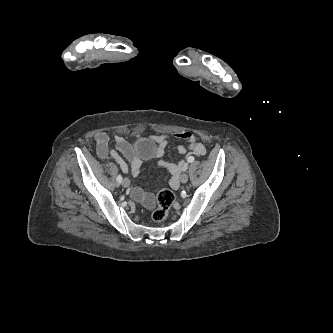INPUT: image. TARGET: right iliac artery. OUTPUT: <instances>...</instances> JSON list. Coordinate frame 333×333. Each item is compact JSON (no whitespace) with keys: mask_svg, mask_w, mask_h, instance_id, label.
<instances>
[{"mask_svg":"<svg viewBox=\"0 0 333 333\" xmlns=\"http://www.w3.org/2000/svg\"><path fill=\"white\" fill-rule=\"evenodd\" d=\"M116 180H117V182L120 184V183L122 182V176H121V175H118Z\"/></svg>","mask_w":333,"mask_h":333,"instance_id":"right-iliac-artery-1","label":"right iliac artery"}]
</instances>
